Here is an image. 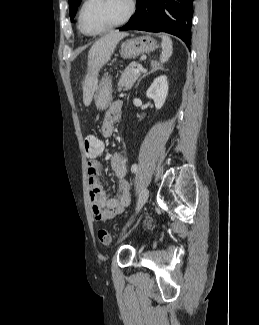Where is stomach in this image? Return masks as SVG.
I'll use <instances>...</instances> for the list:
<instances>
[{
	"label": "stomach",
	"instance_id": "1",
	"mask_svg": "<svg viewBox=\"0 0 259 325\" xmlns=\"http://www.w3.org/2000/svg\"><path fill=\"white\" fill-rule=\"evenodd\" d=\"M157 47L156 41L148 36H140L126 40L121 44V56L124 59H134L141 54L149 53ZM112 100V84L109 77L103 78L94 96L97 109L105 110Z\"/></svg>",
	"mask_w": 259,
	"mask_h": 325
}]
</instances>
